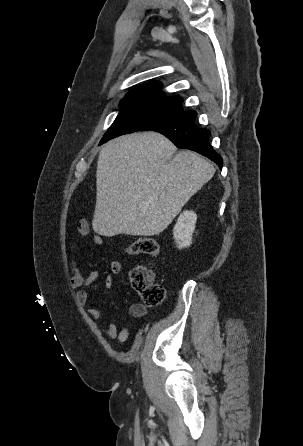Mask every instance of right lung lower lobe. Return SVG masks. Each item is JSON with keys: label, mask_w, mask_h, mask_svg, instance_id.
Returning <instances> with one entry per match:
<instances>
[{"label": "right lung lower lobe", "mask_w": 303, "mask_h": 446, "mask_svg": "<svg viewBox=\"0 0 303 446\" xmlns=\"http://www.w3.org/2000/svg\"><path fill=\"white\" fill-rule=\"evenodd\" d=\"M196 111L183 109L163 116L145 126L141 131H156L168 137L178 148L200 153L222 168V157L209 143L210 131L198 128L195 123Z\"/></svg>", "instance_id": "1"}]
</instances>
